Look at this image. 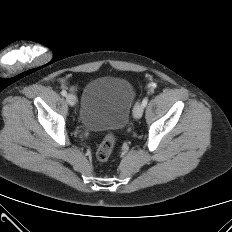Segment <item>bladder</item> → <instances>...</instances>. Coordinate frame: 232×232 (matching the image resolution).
Wrapping results in <instances>:
<instances>
[{
    "label": "bladder",
    "instance_id": "1",
    "mask_svg": "<svg viewBox=\"0 0 232 232\" xmlns=\"http://www.w3.org/2000/svg\"><path fill=\"white\" fill-rule=\"evenodd\" d=\"M134 98V89L126 79L94 78L82 92L80 122L91 131L122 129L129 119Z\"/></svg>",
    "mask_w": 232,
    "mask_h": 232
}]
</instances>
